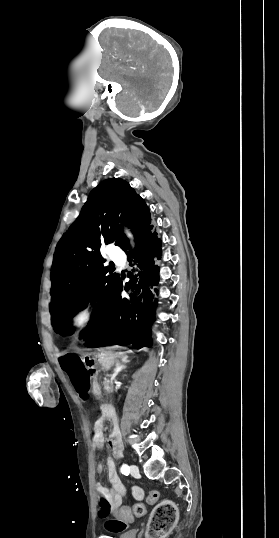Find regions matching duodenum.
I'll return each mask as SVG.
<instances>
[{
    "label": "duodenum",
    "instance_id": "410a0bca",
    "mask_svg": "<svg viewBox=\"0 0 279 538\" xmlns=\"http://www.w3.org/2000/svg\"><path fill=\"white\" fill-rule=\"evenodd\" d=\"M89 376L91 378H93V382H92V385L94 387H97L99 385V382H98V377L97 376V373L95 371H91L89 373ZM100 410H102V413L104 415H110L112 413V410H111V406H109L108 404H102L100 405Z\"/></svg>",
    "mask_w": 279,
    "mask_h": 538
}]
</instances>
